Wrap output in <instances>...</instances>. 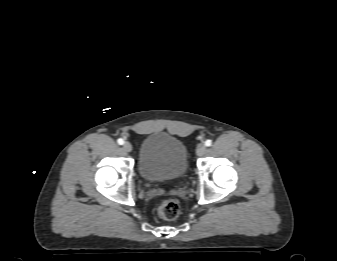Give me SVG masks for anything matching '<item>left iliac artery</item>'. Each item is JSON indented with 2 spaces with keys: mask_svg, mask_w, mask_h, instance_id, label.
<instances>
[{
  "mask_svg": "<svg viewBox=\"0 0 337 261\" xmlns=\"http://www.w3.org/2000/svg\"><path fill=\"white\" fill-rule=\"evenodd\" d=\"M211 144H212V141H211V140L208 139V140L205 141V145H206V146H211Z\"/></svg>",
  "mask_w": 337,
  "mask_h": 261,
  "instance_id": "obj_1",
  "label": "left iliac artery"
}]
</instances>
